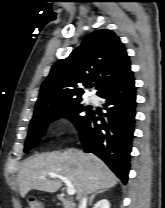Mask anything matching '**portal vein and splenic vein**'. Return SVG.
Returning a JSON list of instances; mask_svg holds the SVG:
<instances>
[{
  "mask_svg": "<svg viewBox=\"0 0 165 208\" xmlns=\"http://www.w3.org/2000/svg\"><path fill=\"white\" fill-rule=\"evenodd\" d=\"M48 176L51 177V178L61 179L67 187L68 195H74L76 193V190H75L74 186L72 185L71 181L68 178L60 176V175L55 174V173H49Z\"/></svg>",
  "mask_w": 165,
  "mask_h": 208,
  "instance_id": "1",
  "label": "portal vein and splenic vein"
}]
</instances>
